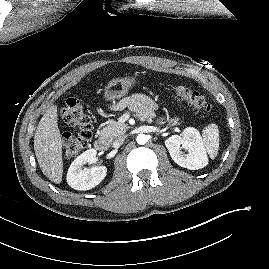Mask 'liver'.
<instances>
[{
  "label": "liver",
  "instance_id": "obj_1",
  "mask_svg": "<svg viewBox=\"0 0 269 269\" xmlns=\"http://www.w3.org/2000/svg\"><path fill=\"white\" fill-rule=\"evenodd\" d=\"M34 151L43 174L52 182L61 183L63 176L62 138L58 128L56 105L46 110L37 126Z\"/></svg>",
  "mask_w": 269,
  "mask_h": 269
}]
</instances>
